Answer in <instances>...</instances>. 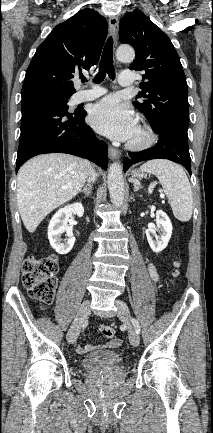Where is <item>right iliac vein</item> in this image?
Instances as JSON below:
<instances>
[{"label":"right iliac vein","instance_id":"63e3f726","mask_svg":"<svg viewBox=\"0 0 213 433\" xmlns=\"http://www.w3.org/2000/svg\"><path fill=\"white\" fill-rule=\"evenodd\" d=\"M89 314H90V301L87 300L81 304L77 316L67 333V340L69 343L73 344L76 342L81 325L84 322V320L88 317Z\"/></svg>","mask_w":213,"mask_h":433}]
</instances>
